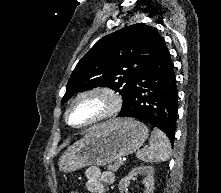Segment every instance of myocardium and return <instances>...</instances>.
<instances>
[{
    "label": "myocardium",
    "instance_id": "obj_1",
    "mask_svg": "<svg viewBox=\"0 0 221 193\" xmlns=\"http://www.w3.org/2000/svg\"><path fill=\"white\" fill-rule=\"evenodd\" d=\"M83 100H95L98 102V110L86 121L75 124L71 122V114L74 107ZM122 106L120 94L107 86H94L78 92L68 103L65 110V122L73 129H87L118 114Z\"/></svg>",
    "mask_w": 221,
    "mask_h": 193
}]
</instances>
